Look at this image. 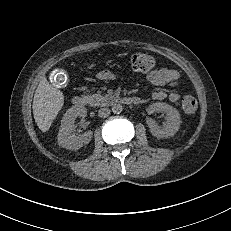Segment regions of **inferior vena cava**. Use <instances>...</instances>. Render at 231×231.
Listing matches in <instances>:
<instances>
[{"label": "inferior vena cava", "instance_id": "602c4592", "mask_svg": "<svg viewBox=\"0 0 231 231\" xmlns=\"http://www.w3.org/2000/svg\"><path fill=\"white\" fill-rule=\"evenodd\" d=\"M110 114V109L107 107L100 108L98 111V116L101 118H106Z\"/></svg>", "mask_w": 231, "mask_h": 231}]
</instances>
